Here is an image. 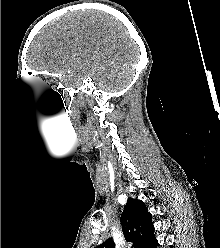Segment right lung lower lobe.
<instances>
[{
	"mask_svg": "<svg viewBox=\"0 0 220 248\" xmlns=\"http://www.w3.org/2000/svg\"><path fill=\"white\" fill-rule=\"evenodd\" d=\"M157 245H158V242L155 241V242L150 246V248H157Z\"/></svg>",
	"mask_w": 220,
	"mask_h": 248,
	"instance_id": "obj_1",
	"label": "right lung lower lobe"
}]
</instances>
